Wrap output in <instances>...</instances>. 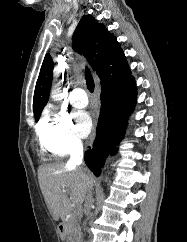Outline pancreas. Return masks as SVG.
I'll return each mask as SVG.
<instances>
[{"instance_id": "cf45deb5", "label": "pancreas", "mask_w": 187, "mask_h": 242, "mask_svg": "<svg viewBox=\"0 0 187 242\" xmlns=\"http://www.w3.org/2000/svg\"><path fill=\"white\" fill-rule=\"evenodd\" d=\"M80 216L74 215L67 222V242H80L81 239V227Z\"/></svg>"}]
</instances>
